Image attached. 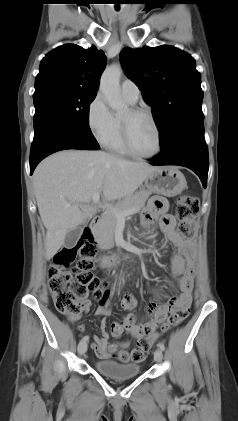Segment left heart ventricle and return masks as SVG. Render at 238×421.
<instances>
[{"label":"left heart ventricle","mask_w":238,"mask_h":421,"mask_svg":"<svg viewBox=\"0 0 238 421\" xmlns=\"http://www.w3.org/2000/svg\"><path fill=\"white\" fill-rule=\"evenodd\" d=\"M121 118L128 121L131 143L133 148L142 155H150L157 148L156 130L145 115H132L125 111Z\"/></svg>","instance_id":"b2bd125f"}]
</instances>
